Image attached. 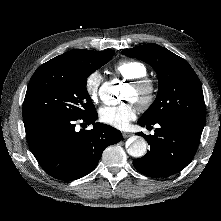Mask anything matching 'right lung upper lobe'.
I'll list each match as a JSON object with an SVG mask.
<instances>
[{
  "label": "right lung upper lobe",
  "mask_w": 221,
  "mask_h": 221,
  "mask_svg": "<svg viewBox=\"0 0 221 221\" xmlns=\"http://www.w3.org/2000/svg\"><path fill=\"white\" fill-rule=\"evenodd\" d=\"M100 52V51H89L84 49H74L65 54L59 55L50 60V62L59 63V64H75L79 63L91 55Z\"/></svg>",
  "instance_id": "right-lung-upper-lobe-1"
}]
</instances>
